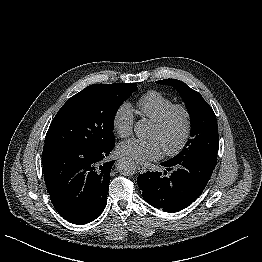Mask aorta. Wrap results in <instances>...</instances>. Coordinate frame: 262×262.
<instances>
[{"label":"aorta","instance_id":"762f6f07","mask_svg":"<svg viewBox=\"0 0 262 262\" xmlns=\"http://www.w3.org/2000/svg\"><path fill=\"white\" fill-rule=\"evenodd\" d=\"M150 130L149 122L146 119H141L134 125V132L138 138H144ZM117 171L124 176H131L136 173L135 162L127 157L120 158L116 163Z\"/></svg>","mask_w":262,"mask_h":262}]
</instances>
